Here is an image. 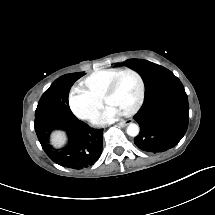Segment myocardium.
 <instances>
[{"label":"myocardium","mask_w":215,"mask_h":215,"mask_svg":"<svg viewBox=\"0 0 215 215\" xmlns=\"http://www.w3.org/2000/svg\"><path fill=\"white\" fill-rule=\"evenodd\" d=\"M123 75H129L131 76L134 81H135V92H134V97L133 101L130 106L125 108V115H130V113L134 112V110L139 109V105L141 103L142 97H143V82L141 76L134 70L132 69H122V71L119 74L114 75V80L112 84L109 86L108 90H106V95H111L112 91L115 90L119 82L122 80Z\"/></svg>","instance_id":"myocardium-1"}]
</instances>
